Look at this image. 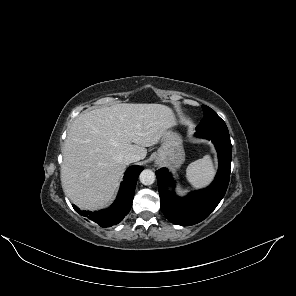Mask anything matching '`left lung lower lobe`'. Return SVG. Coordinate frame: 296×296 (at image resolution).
Here are the masks:
<instances>
[{"mask_svg": "<svg viewBox=\"0 0 296 296\" xmlns=\"http://www.w3.org/2000/svg\"><path fill=\"white\" fill-rule=\"evenodd\" d=\"M196 136L212 140L218 153V172L209 187L178 197L167 189L174 186L168 170L161 168L156 171L162 212L177 225H194L207 218L224 197L229 184L232 145L228 129L197 130Z\"/></svg>", "mask_w": 296, "mask_h": 296, "instance_id": "0a47b994", "label": "left lung lower lobe"}]
</instances>
